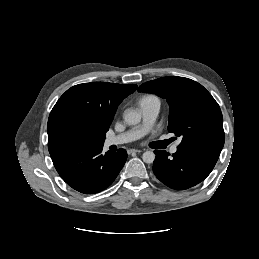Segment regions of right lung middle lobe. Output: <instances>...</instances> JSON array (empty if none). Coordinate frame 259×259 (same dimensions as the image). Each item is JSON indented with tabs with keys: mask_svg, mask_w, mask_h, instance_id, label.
<instances>
[{
	"mask_svg": "<svg viewBox=\"0 0 259 259\" xmlns=\"http://www.w3.org/2000/svg\"><path fill=\"white\" fill-rule=\"evenodd\" d=\"M75 142L80 148L87 147V141L82 131L79 130L75 133Z\"/></svg>",
	"mask_w": 259,
	"mask_h": 259,
	"instance_id": "obj_1",
	"label": "right lung middle lobe"
}]
</instances>
